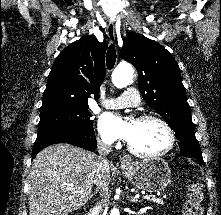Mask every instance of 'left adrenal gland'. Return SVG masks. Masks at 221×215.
Here are the masks:
<instances>
[{"label": "left adrenal gland", "mask_w": 221, "mask_h": 215, "mask_svg": "<svg viewBox=\"0 0 221 215\" xmlns=\"http://www.w3.org/2000/svg\"><path fill=\"white\" fill-rule=\"evenodd\" d=\"M127 199H128V201H130V202H138L137 199L130 198L129 194H127Z\"/></svg>", "instance_id": "left-adrenal-gland-1"}]
</instances>
